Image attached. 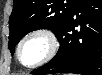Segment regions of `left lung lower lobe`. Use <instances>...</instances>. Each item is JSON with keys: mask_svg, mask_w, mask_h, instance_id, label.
<instances>
[{"mask_svg": "<svg viewBox=\"0 0 102 75\" xmlns=\"http://www.w3.org/2000/svg\"><path fill=\"white\" fill-rule=\"evenodd\" d=\"M56 37L57 54L32 74L102 75V1L80 0Z\"/></svg>", "mask_w": 102, "mask_h": 75, "instance_id": "1", "label": "left lung lower lobe"}]
</instances>
